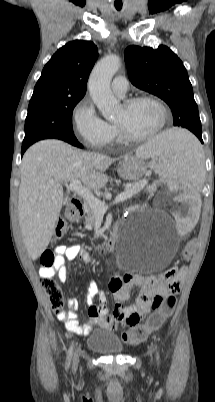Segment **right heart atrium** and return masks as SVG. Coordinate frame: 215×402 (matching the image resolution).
<instances>
[{
    "label": "right heart atrium",
    "instance_id": "d8ad5b80",
    "mask_svg": "<svg viewBox=\"0 0 215 402\" xmlns=\"http://www.w3.org/2000/svg\"><path fill=\"white\" fill-rule=\"evenodd\" d=\"M73 122L76 136L89 147L102 148L113 139V127L98 115L92 101L87 97L75 106Z\"/></svg>",
    "mask_w": 215,
    "mask_h": 402
}]
</instances>
